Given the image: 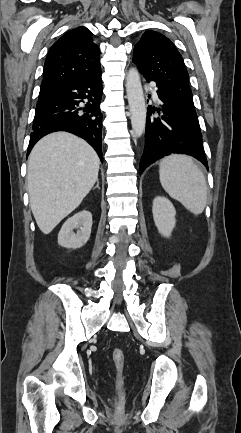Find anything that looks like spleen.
Here are the masks:
<instances>
[{
  "label": "spleen",
  "instance_id": "obj_1",
  "mask_svg": "<svg viewBox=\"0 0 241 433\" xmlns=\"http://www.w3.org/2000/svg\"><path fill=\"white\" fill-rule=\"evenodd\" d=\"M159 178L169 196L194 215H200L207 202L204 174L186 155H170L160 162Z\"/></svg>",
  "mask_w": 241,
  "mask_h": 433
}]
</instances>
